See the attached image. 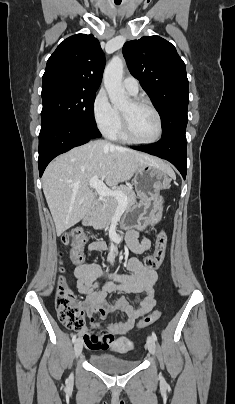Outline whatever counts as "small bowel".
Masks as SVG:
<instances>
[{
  "instance_id": "1",
  "label": "small bowel",
  "mask_w": 235,
  "mask_h": 404,
  "mask_svg": "<svg viewBox=\"0 0 235 404\" xmlns=\"http://www.w3.org/2000/svg\"><path fill=\"white\" fill-rule=\"evenodd\" d=\"M149 231L140 236L135 230L127 235V242L130 249L135 253L146 251L151 241ZM106 244L103 241H94L88 246V253L103 251ZM126 268L129 274L116 275L104 272L101 267L95 263H83L76 266L74 275L77 279V290L85 295V300L80 302V306L85 309L89 317L100 313L106 315L113 312H122L126 315L123 322L111 323L104 330L88 331L82 327L79 332L83 338L86 348L91 350H106L111 342L104 345L102 339L104 334L118 336V347L127 343L125 334L134 326L136 319L149 313L156 305L155 287L160 278L155 270L147 269L140 260L131 258L126 262ZM123 291L142 295L140 303L137 306L129 304L126 297L121 296L114 302L106 300L108 293Z\"/></svg>"
}]
</instances>
